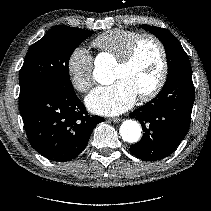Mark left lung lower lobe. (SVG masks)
I'll use <instances>...</instances> for the list:
<instances>
[{
  "mask_svg": "<svg viewBox=\"0 0 211 211\" xmlns=\"http://www.w3.org/2000/svg\"><path fill=\"white\" fill-rule=\"evenodd\" d=\"M194 94L191 68L169 75L160 93L130 114L144 131L142 139L130 147L131 153L145 161L169 156L188 132Z\"/></svg>",
  "mask_w": 211,
  "mask_h": 211,
  "instance_id": "1",
  "label": "left lung lower lobe"
}]
</instances>
